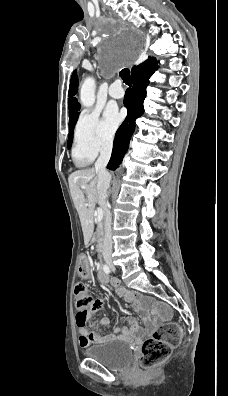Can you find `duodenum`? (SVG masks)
<instances>
[{
  "label": "duodenum",
  "mask_w": 228,
  "mask_h": 396,
  "mask_svg": "<svg viewBox=\"0 0 228 396\" xmlns=\"http://www.w3.org/2000/svg\"><path fill=\"white\" fill-rule=\"evenodd\" d=\"M99 254H101V250H99ZM98 277L101 281L105 282L106 281V276L105 274L102 272L101 269H99L98 271Z\"/></svg>",
  "instance_id": "410a0bca"
}]
</instances>
